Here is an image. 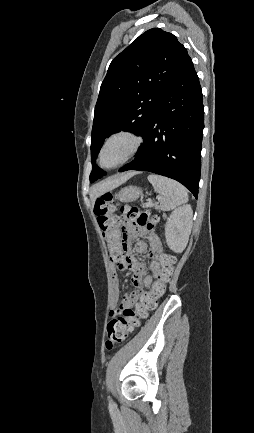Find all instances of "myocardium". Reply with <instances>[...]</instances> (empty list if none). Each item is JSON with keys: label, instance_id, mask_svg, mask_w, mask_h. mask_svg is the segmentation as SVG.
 Listing matches in <instances>:
<instances>
[{"label": "myocardium", "instance_id": "obj_1", "mask_svg": "<svg viewBox=\"0 0 254 433\" xmlns=\"http://www.w3.org/2000/svg\"><path fill=\"white\" fill-rule=\"evenodd\" d=\"M119 137H125L131 140L132 142V146L131 149L129 150V152L127 153V155L117 164L113 165V166H104L102 164V155L103 152L106 148V146L108 145V143L110 141H112L115 138H119ZM143 144V139L142 137L136 133L134 130L132 129H120L117 130L113 133H111L103 142V144L101 145V148L99 150V154H98V163L102 168L105 169H115L118 168L124 164H126L127 162H129L131 159H133L138 152L140 151L141 147Z\"/></svg>", "mask_w": 254, "mask_h": 433}]
</instances>
